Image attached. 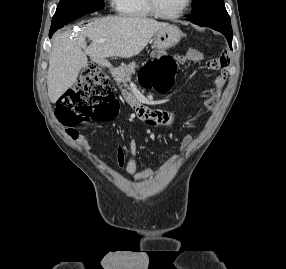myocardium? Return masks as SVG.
Returning a JSON list of instances; mask_svg holds the SVG:
<instances>
[{
	"mask_svg": "<svg viewBox=\"0 0 286 269\" xmlns=\"http://www.w3.org/2000/svg\"><path fill=\"white\" fill-rule=\"evenodd\" d=\"M145 1H146V5L149 11L152 13L153 16L157 18H161V19H167V20H174V19L182 17L191 5V0H186L183 8L179 12L172 14V15H168V14H164L163 12L159 10L156 0H145Z\"/></svg>",
	"mask_w": 286,
	"mask_h": 269,
	"instance_id": "f54148a6",
	"label": "myocardium"
}]
</instances>
